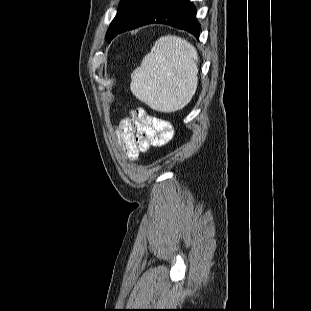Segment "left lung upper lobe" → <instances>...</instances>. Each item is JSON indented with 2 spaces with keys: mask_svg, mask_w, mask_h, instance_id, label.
<instances>
[{
  "mask_svg": "<svg viewBox=\"0 0 311 311\" xmlns=\"http://www.w3.org/2000/svg\"><path fill=\"white\" fill-rule=\"evenodd\" d=\"M126 1H127V0H122V1H121L120 8L122 7V5H123ZM116 16H117V15H116ZM115 19H116V17L113 19V21H112L111 24H110V27H109V29H108V31H107V34H106V39H108V38L110 37L111 33H112V30H113V27H114Z\"/></svg>",
  "mask_w": 311,
  "mask_h": 311,
  "instance_id": "1",
  "label": "left lung upper lobe"
}]
</instances>
